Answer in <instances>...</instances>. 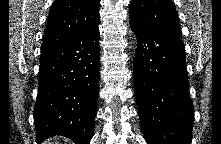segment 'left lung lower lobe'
<instances>
[{
  "mask_svg": "<svg viewBox=\"0 0 221 144\" xmlns=\"http://www.w3.org/2000/svg\"><path fill=\"white\" fill-rule=\"evenodd\" d=\"M131 27L137 38L134 92L147 144H191L194 109L183 42L133 23Z\"/></svg>",
  "mask_w": 221,
  "mask_h": 144,
  "instance_id": "1",
  "label": "left lung lower lobe"
}]
</instances>
